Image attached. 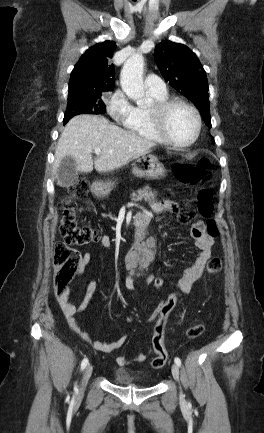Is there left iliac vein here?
<instances>
[{
  "label": "left iliac vein",
  "mask_w": 264,
  "mask_h": 433,
  "mask_svg": "<svg viewBox=\"0 0 264 433\" xmlns=\"http://www.w3.org/2000/svg\"><path fill=\"white\" fill-rule=\"evenodd\" d=\"M171 370H172V375H173L174 379L176 381H179V367H178V365L172 364ZM180 399H181V401H184V396H183L182 392H180Z\"/></svg>",
  "instance_id": "left-iliac-vein-1"
}]
</instances>
